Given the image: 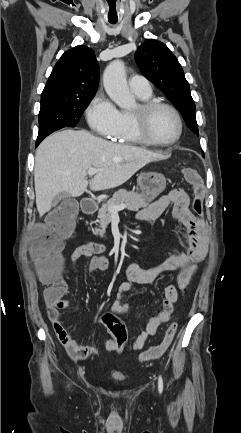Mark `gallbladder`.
Instances as JSON below:
<instances>
[{"instance_id":"1","label":"gallbladder","mask_w":241,"mask_h":433,"mask_svg":"<svg viewBox=\"0 0 241 433\" xmlns=\"http://www.w3.org/2000/svg\"><path fill=\"white\" fill-rule=\"evenodd\" d=\"M70 194L68 192H60L58 193L52 201L53 205H56L59 201H69V206L67 208L68 213L71 215V217L75 218L79 211V204L76 200L70 198ZM67 207V206H66Z\"/></svg>"}]
</instances>
